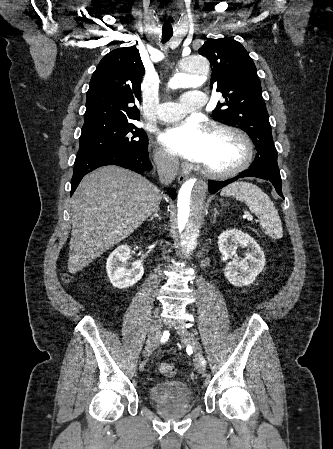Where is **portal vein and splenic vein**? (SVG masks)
I'll use <instances>...</instances> for the list:
<instances>
[{
  "label": "portal vein and splenic vein",
  "instance_id": "18ae733b",
  "mask_svg": "<svg viewBox=\"0 0 333 449\" xmlns=\"http://www.w3.org/2000/svg\"><path fill=\"white\" fill-rule=\"evenodd\" d=\"M245 217L247 218L248 221H253V216L250 214L245 215Z\"/></svg>",
  "mask_w": 333,
  "mask_h": 449
}]
</instances>
